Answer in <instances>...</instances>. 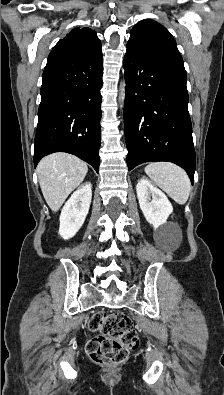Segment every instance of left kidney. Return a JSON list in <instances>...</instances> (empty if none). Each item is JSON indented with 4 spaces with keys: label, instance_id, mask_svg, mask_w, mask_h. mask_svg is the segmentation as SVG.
Here are the masks:
<instances>
[{
    "label": "left kidney",
    "instance_id": "obj_1",
    "mask_svg": "<svg viewBox=\"0 0 224 395\" xmlns=\"http://www.w3.org/2000/svg\"><path fill=\"white\" fill-rule=\"evenodd\" d=\"M136 192L140 208L147 222L153 225L154 229H159L161 233H164L163 224L173 212L172 204L167 196L145 177L138 181Z\"/></svg>",
    "mask_w": 224,
    "mask_h": 395
}]
</instances>
